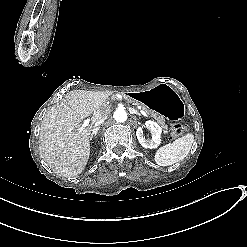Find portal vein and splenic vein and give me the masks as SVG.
<instances>
[{
  "label": "portal vein and splenic vein",
  "instance_id": "portal-vein-and-splenic-vein-1",
  "mask_svg": "<svg viewBox=\"0 0 247 247\" xmlns=\"http://www.w3.org/2000/svg\"><path fill=\"white\" fill-rule=\"evenodd\" d=\"M141 114L146 116V119H149V114L144 112V110H141ZM90 119L84 120V123L79 127L78 131L82 132L83 129L89 124Z\"/></svg>",
  "mask_w": 247,
  "mask_h": 247
}]
</instances>
